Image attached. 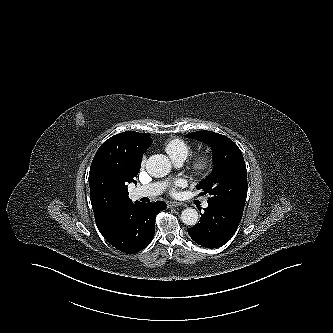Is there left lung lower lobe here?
Instances as JSON below:
<instances>
[{"label":"left lung lower lobe","instance_id":"0a47b994","mask_svg":"<svg viewBox=\"0 0 333 333\" xmlns=\"http://www.w3.org/2000/svg\"><path fill=\"white\" fill-rule=\"evenodd\" d=\"M200 222L188 229L190 237L206 248H218L229 241L239 225L242 213L225 205L207 201Z\"/></svg>","mask_w":333,"mask_h":333}]
</instances>
